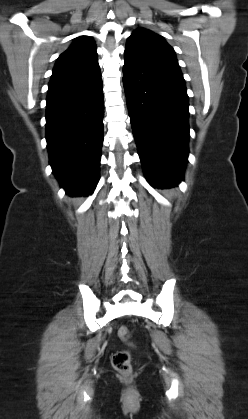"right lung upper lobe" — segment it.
<instances>
[{
	"label": "right lung upper lobe",
	"instance_id": "1",
	"mask_svg": "<svg viewBox=\"0 0 248 419\" xmlns=\"http://www.w3.org/2000/svg\"><path fill=\"white\" fill-rule=\"evenodd\" d=\"M96 63L98 62L94 41L88 36L77 37L57 59L51 79L79 73Z\"/></svg>",
	"mask_w": 248,
	"mask_h": 419
}]
</instances>
